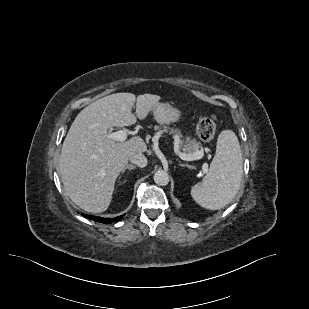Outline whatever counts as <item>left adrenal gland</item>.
Returning <instances> with one entry per match:
<instances>
[{
    "label": "left adrenal gland",
    "mask_w": 309,
    "mask_h": 309,
    "mask_svg": "<svg viewBox=\"0 0 309 309\" xmlns=\"http://www.w3.org/2000/svg\"><path fill=\"white\" fill-rule=\"evenodd\" d=\"M179 165H180L181 167H187V168H190V169L193 168L191 165H188V164H182V163H180Z\"/></svg>",
    "instance_id": "obj_1"
}]
</instances>
